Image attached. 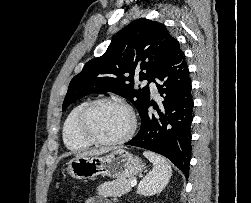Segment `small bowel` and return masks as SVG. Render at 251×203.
<instances>
[{
    "label": "small bowel",
    "mask_w": 251,
    "mask_h": 203,
    "mask_svg": "<svg viewBox=\"0 0 251 203\" xmlns=\"http://www.w3.org/2000/svg\"><path fill=\"white\" fill-rule=\"evenodd\" d=\"M85 203H112V202L102 196L97 195V196L89 197L85 201Z\"/></svg>",
    "instance_id": "c3829d8e"
}]
</instances>
